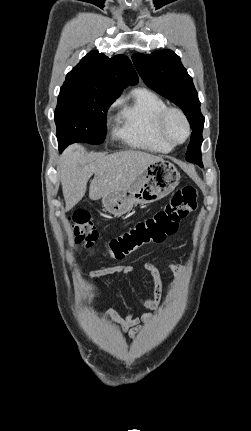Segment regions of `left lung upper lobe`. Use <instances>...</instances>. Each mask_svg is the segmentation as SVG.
<instances>
[{"label": "left lung upper lobe", "mask_w": 251, "mask_h": 431, "mask_svg": "<svg viewBox=\"0 0 251 431\" xmlns=\"http://www.w3.org/2000/svg\"><path fill=\"white\" fill-rule=\"evenodd\" d=\"M132 60L148 87L182 109L192 129L186 160L203 166L201 144L204 117L200 111L198 93L180 57L164 49L151 54L135 53Z\"/></svg>", "instance_id": "5c2ea615"}]
</instances>
